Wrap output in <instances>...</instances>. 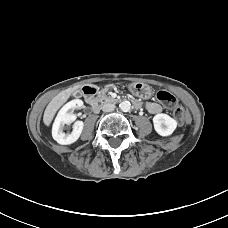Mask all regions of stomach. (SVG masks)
Returning <instances> with one entry per match:
<instances>
[{"instance_id": "0dacf381", "label": "stomach", "mask_w": 228, "mask_h": 228, "mask_svg": "<svg viewBox=\"0 0 228 228\" xmlns=\"http://www.w3.org/2000/svg\"><path fill=\"white\" fill-rule=\"evenodd\" d=\"M128 88L133 95L139 98L148 99L152 95L151 87L144 82H132L128 85Z\"/></svg>"}]
</instances>
